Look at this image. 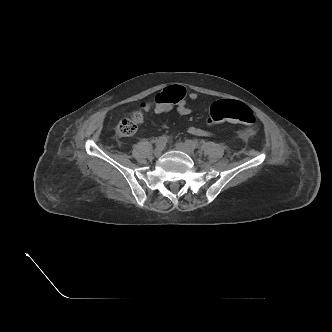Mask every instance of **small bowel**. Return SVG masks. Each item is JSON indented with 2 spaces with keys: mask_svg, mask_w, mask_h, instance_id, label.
<instances>
[{
  "mask_svg": "<svg viewBox=\"0 0 332 332\" xmlns=\"http://www.w3.org/2000/svg\"><path fill=\"white\" fill-rule=\"evenodd\" d=\"M188 98H189V100L194 102L198 99V94L196 92H190L188 94ZM172 108H173V104H160V103H157L154 110L157 114H163V113H166V112L170 111ZM176 110L180 115H183V116H187V115L191 114V112H192L191 108L189 107L187 101L184 98L181 99L179 102H177ZM187 131L191 135L198 136V137H211V136H213L212 132H210L208 130H205V129H202V128H199V127H196V126H189ZM254 133H255V131L253 129H246L242 132V136L244 138H248L251 135H253Z\"/></svg>",
  "mask_w": 332,
  "mask_h": 332,
  "instance_id": "1",
  "label": "small bowel"
}]
</instances>
